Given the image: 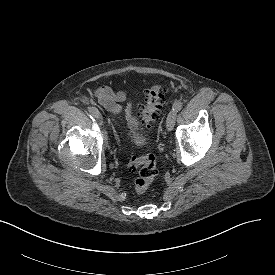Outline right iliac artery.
Masks as SVG:
<instances>
[{
  "label": "right iliac artery",
  "mask_w": 275,
  "mask_h": 275,
  "mask_svg": "<svg viewBox=\"0 0 275 275\" xmlns=\"http://www.w3.org/2000/svg\"><path fill=\"white\" fill-rule=\"evenodd\" d=\"M97 108H95V107H90L89 108V112H90V114L92 115V116H95V114L97 113Z\"/></svg>",
  "instance_id": "obj_1"
}]
</instances>
